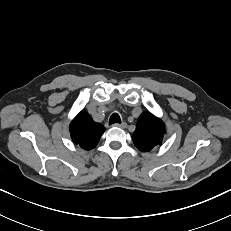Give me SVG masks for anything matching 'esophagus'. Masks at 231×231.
<instances>
[{
    "instance_id": "34e87169",
    "label": "esophagus",
    "mask_w": 231,
    "mask_h": 231,
    "mask_svg": "<svg viewBox=\"0 0 231 231\" xmlns=\"http://www.w3.org/2000/svg\"><path fill=\"white\" fill-rule=\"evenodd\" d=\"M127 124L125 122H122V123H116L113 125V127H118V128H126Z\"/></svg>"
}]
</instances>
